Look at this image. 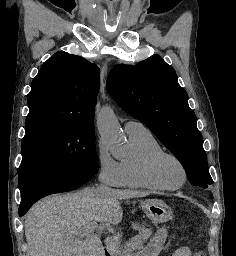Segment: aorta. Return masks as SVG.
Masks as SVG:
<instances>
[{"instance_id":"762f6f07","label":"aorta","mask_w":236,"mask_h":256,"mask_svg":"<svg viewBox=\"0 0 236 256\" xmlns=\"http://www.w3.org/2000/svg\"><path fill=\"white\" fill-rule=\"evenodd\" d=\"M97 127L101 139L109 145H119L124 141L120 124L110 106L103 107L97 117Z\"/></svg>"}]
</instances>
